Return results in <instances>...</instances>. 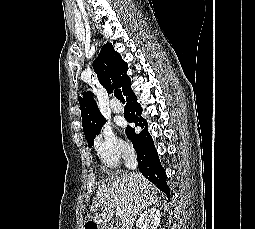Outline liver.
Listing matches in <instances>:
<instances>
[{
  "mask_svg": "<svg viewBox=\"0 0 255 229\" xmlns=\"http://www.w3.org/2000/svg\"><path fill=\"white\" fill-rule=\"evenodd\" d=\"M90 207L97 224L112 220L116 206L124 211L121 229H132L139 212L158 202V189L140 173L122 171L108 174ZM98 211H101L97 214Z\"/></svg>",
  "mask_w": 255,
  "mask_h": 229,
  "instance_id": "liver-1",
  "label": "liver"
}]
</instances>
